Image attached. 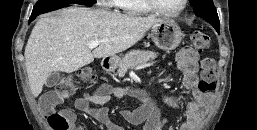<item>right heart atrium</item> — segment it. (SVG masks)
<instances>
[{
	"mask_svg": "<svg viewBox=\"0 0 257 130\" xmlns=\"http://www.w3.org/2000/svg\"><path fill=\"white\" fill-rule=\"evenodd\" d=\"M100 4L107 7L114 6V0H99Z\"/></svg>",
	"mask_w": 257,
	"mask_h": 130,
	"instance_id": "1",
	"label": "right heart atrium"
}]
</instances>
